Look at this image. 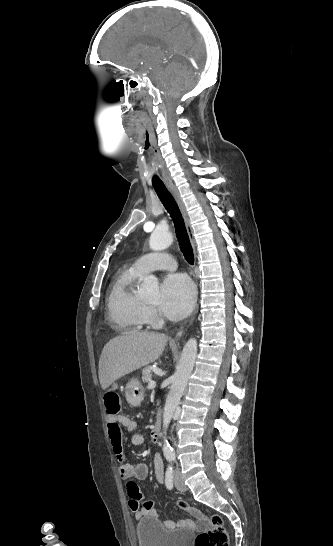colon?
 Wrapping results in <instances>:
<instances>
[{
  "label": "colon",
  "instance_id": "5ec220e1",
  "mask_svg": "<svg viewBox=\"0 0 333 546\" xmlns=\"http://www.w3.org/2000/svg\"><path fill=\"white\" fill-rule=\"evenodd\" d=\"M104 398L109 416L112 418L117 417L121 408V400L118 393L109 392ZM178 506L182 510H190V506L184 501L178 502ZM194 546H228V535L220 516L212 515L210 517L208 529L197 535Z\"/></svg>",
  "mask_w": 333,
  "mask_h": 546
}]
</instances>
